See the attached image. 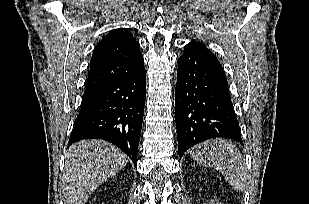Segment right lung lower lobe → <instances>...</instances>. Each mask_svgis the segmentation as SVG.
I'll list each match as a JSON object with an SVG mask.
<instances>
[{
    "label": "right lung lower lobe",
    "instance_id": "right-lung-lower-lobe-1",
    "mask_svg": "<svg viewBox=\"0 0 309 204\" xmlns=\"http://www.w3.org/2000/svg\"><path fill=\"white\" fill-rule=\"evenodd\" d=\"M146 97V73L135 72L85 90L68 146L83 139L107 140L137 166Z\"/></svg>",
    "mask_w": 309,
    "mask_h": 204
}]
</instances>
